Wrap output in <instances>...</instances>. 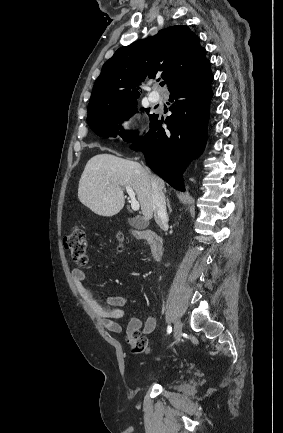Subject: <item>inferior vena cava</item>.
<instances>
[{
	"label": "inferior vena cava",
	"instance_id": "obj_1",
	"mask_svg": "<svg viewBox=\"0 0 283 433\" xmlns=\"http://www.w3.org/2000/svg\"><path fill=\"white\" fill-rule=\"evenodd\" d=\"M152 198L154 204V217L159 225L168 223V214L166 212V202L164 192L156 186L155 180L152 178Z\"/></svg>",
	"mask_w": 283,
	"mask_h": 433
}]
</instances>
